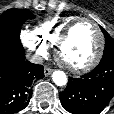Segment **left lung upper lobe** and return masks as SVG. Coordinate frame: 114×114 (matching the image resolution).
<instances>
[{"instance_id": "obj_1", "label": "left lung upper lobe", "mask_w": 114, "mask_h": 114, "mask_svg": "<svg viewBox=\"0 0 114 114\" xmlns=\"http://www.w3.org/2000/svg\"><path fill=\"white\" fill-rule=\"evenodd\" d=\"M101 30L106 39L104 54L101 61H112L114 60V39L102 27Z\"/></svg>"}]
</instances>
